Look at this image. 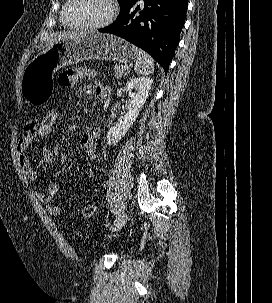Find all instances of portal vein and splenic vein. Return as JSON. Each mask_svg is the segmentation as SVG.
<instances>
[{"label":"portal vein and splenic vein","instance_id":"1","mask_svg":"<svg viewBox=\"0 0 272 303\" xmlns=\"http://www.w3.org/2000/svg\"><path fill=\"white\" fill-rule=\"evenodd\" d=\"M127 69H128V66H125V67H124V70H127Z\"/></svg>","mask_w":272,"mask_h":303}]
</instances>
